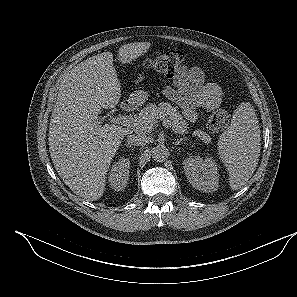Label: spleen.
<instances>
[{
    "label": "spleen",
    "instance_id": "spleen-1",
    "mask_svg": "<svg viewBox=\"0 0 297 297\" xmlns=\"http://www.w3.org/2000/svg\"><path fill=\"white\" fill-rule=\"evenodd\" d=\"M260 141L255 110L250 103H241L218 141V154L228 169L232 190L241 189L252 177L259 161Z\"/></svg>",
    "mask_w": 297,
    "mask_h": 297
}]
</instances>
